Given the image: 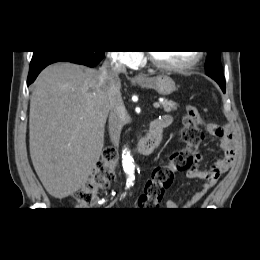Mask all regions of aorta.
Listing matches in <instances>:
<instances>
[{"mask_svg": "<svg viewBox=\"0 0 260 260\" xmlns=\"http://www.w3.org/2000/svg\"><path fill=\"white\" fill-rule=\"evenodd\" d=\"M122 165L125 173L128 175V182L131 183L134 180V164L132 156L126 149L122 154Z\"/></svg>", "mask_w": 260, "mask_h": 260, "instance_id": "obj_1", "label": "aorta"}]
</instances>
